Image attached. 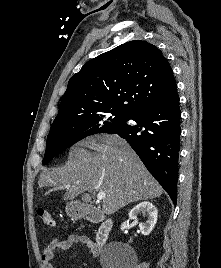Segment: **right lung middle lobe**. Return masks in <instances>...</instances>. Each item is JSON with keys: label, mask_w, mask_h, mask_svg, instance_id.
<instances>
[{"label": "right lung middle lobe", "mask_w": 221, "mask_h": 268, "mask_svg": "<svg viewBox=\"0 0 221 268\" xmlns=\"http://www.w3.org/2000/svg\"><path fill=\"white\" fill-rule=\"evenodd\" d=\"M117 111H99L69 117H57L51 126L46 142L43 164L77 141L96 133H108L130 119Z\"/></svg>", "instance_id": "1"}]
</instances>
